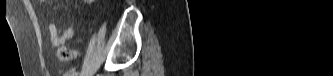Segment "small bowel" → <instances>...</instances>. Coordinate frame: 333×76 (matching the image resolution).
I'll use <instances>...</instances> for the list:
<instances>
[{"label":"small bowel","mask_w":333,"mask_h":76,"mask_svg":"<svg viewBox=\"0 0 333 76\" xmlns=\"http://www.w3.org/2000/svg\"><path fill=\"white\" fill-rule=\"evenodd\" d=\"M75 35L74 27H67L60 33L55 23L49 25V40L52 46L60 47L64 45L66 41L73 40Z\"/></svg>","instance_id":"1"}]
</instances>
